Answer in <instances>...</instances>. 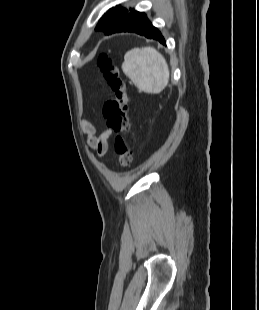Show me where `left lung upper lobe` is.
<instances>
[{
    "label": "left lung upper lobe",
    "mask_w": 259,
    "mask_h": 310,
    "mask_svg": "<svg viewBox=\"0 0 259 310\" xmlns=\"http://www.w3.org/2000/svg\"><path fill=\"white\" fill-rule=\"evenodd\" d=\"M129 13L127 9L116 6V8H111L99 21L96 26V30L110 34L121 20Z\"/></svg>",
    "instance_id": "left-lung-upper-lobe-1"
}]
</instances>
